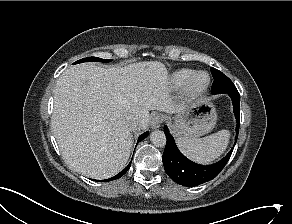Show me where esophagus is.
Returning <instances> with one entry per match:
<instances>
[{
	"mask_svg": "<svg viewBox=\"0 0 292 224\" xmlns=\"http://www.w3.org/2000/svg\"><path fill=\"white\" fill-rule=\"evenodd\" d=\"M163 121V116L161 114L155 113L151 116L150 124L152 129H157L160 127Z\"/></svg>",
	"mask_w": 292,
	"mask_h": 224,
	"instance_id": "1",
	"label": "esophagus"
}]
</instances>
